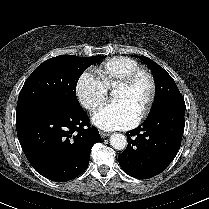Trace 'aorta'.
Returning a JSON list of instances; mask_svg holds the SVG:
<instances>
[{"instance_id":"762f6f07","label":"aorta","mask_w":209,"mask_h":209,"mask_svg":"<svg viewBox=\"0 0 209 209\" xmlns=\"http://www.w3.org/2000/svg\"><path fill=\"white\" fill-rule=\"evenodd\" d=\"M110 145L116 150H123L127 146V138L120 133H114L110 137Z\"/></svg>"}]
</instances>
